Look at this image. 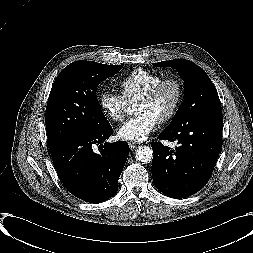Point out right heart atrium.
<instances>
[{
    "mask_svg": "<svg viewBox=\"0 0 253 253\" xmlns=\"http://www.w3.org/2000/svg\"><path fill=\"white\" fill-rule=\"evenodd\" d=\"M99 106L107 119L120 122L125 117L128 102L121 94L107 91L99 96Z\"/></svg>",
    "mask_w": 253,
    "mask_h": 253,
    "instance_id": "d8ad5b80",
    "label": "right heart atrium"
}]
</instances>
